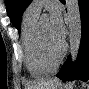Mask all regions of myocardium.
I'll list each match as a JSON object with an SVG mask.
<instances>
[{"instance_id":"f54148a6","label":"myocardium","mask_w":89,"mask_h":89,"mask_svg":"<svg viewBox=\"0 0 89 89\" xmlns=\"http://www.w3.org/2000/svg\"><path fill=\"white\" fill-rule=\"evenodd\" d=\"M36 44L37 49L44 60L45 63L53 66H57L60 61L63 59L65 52H66V44L63 42L61 45V48L59 49L58 53L55 55H52L48 50L44 43L43 37H42V30L40 24L37 25V31H36Z\"/></svg>"}]
</instances>
